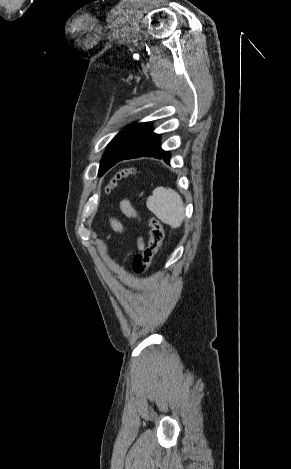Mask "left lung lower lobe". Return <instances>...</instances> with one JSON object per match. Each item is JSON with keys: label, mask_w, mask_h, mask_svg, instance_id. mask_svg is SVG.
<instances>
[{"label": "left lung lower lobe", "mask_w": 291, "mask_h": 469, "mask_svg": "<svg viewBox=\"0 0 291 469\" xmlns=\"http://www.w3.org/2000/svg\"><path fill=\"white\" fill-rule=\"evenodd\" d=\"M143 156L163 159L166 162L170 161V154L162 150V148L160 147L159 135L151 133L145 138H143L136 145H134L131 149H129L125 154L119 157L116 160V163L121 160L138 158Z\"/></svg>", "instance_id": "0a47b994"}]
</instances>
